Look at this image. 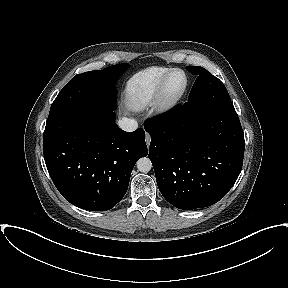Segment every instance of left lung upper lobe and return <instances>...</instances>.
I'll use <instances>...</instances> for the list:
<instances>
[{
  "mask_svg": "<svg viewBox=\"0 0 288 288\" xmlns=\"http://www.w3.org/2000/svg\"><path fill=\"white\" fill-rule=\"evenodd\" d=\"M187 70L198 76L188 97L189 105L236 113L227 89L217 77L200 66H187Z\"/></svg>",
  "mask_w": 288,
  "mask_h": 288,
  "instance_id": "5c2ea615",
  "label": "left lung upper lobe"
}]
</instances>
